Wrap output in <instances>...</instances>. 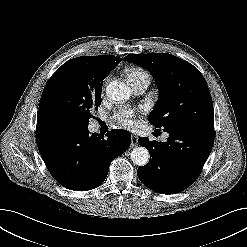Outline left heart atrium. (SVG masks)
Instances as JSON below:
<instances>
[{"instance_id":"left-heart-atrium-1","label":"left heart atrium","mask_w":247,"mask_h":247,"mask_svg":"<svg viewBox=\"0 0 247 247\" xmlns=\"http://www.w3.org/2000/svg\"><path fill=\"white\" fill-rule=\"evenodd\" d=\"M114 120L122 127L131 128L136 124L135 113L132 110L124 109L119 111L115 116Z\"/></svg>"}]
</instances>
